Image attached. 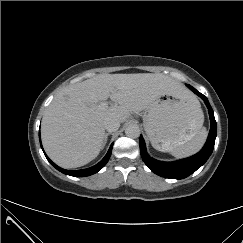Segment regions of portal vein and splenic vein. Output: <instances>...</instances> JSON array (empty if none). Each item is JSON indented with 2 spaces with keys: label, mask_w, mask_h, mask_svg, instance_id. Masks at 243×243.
Listing matches in <instances>:
<instances>
[{
  "label": "portal vein and splenic vein",
  "mask_w": 243,
  "mask_h": 243,
  "mask_svg": "<svg viewBox=\"0 0 243 243\" xmlns=\"http://www.w3.org/2000/svg\"><path fill=\"white\" fill-rule=\"evenodd\" d=\"M108 106H109V102H102L99 107L105 109L108 108Z\"/></svg>",
  "instance_id": "18ae733b"
}]
</instances>
